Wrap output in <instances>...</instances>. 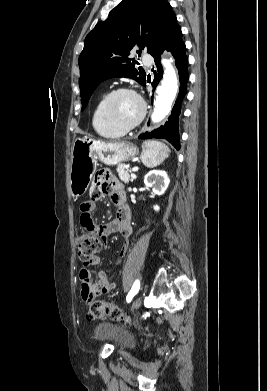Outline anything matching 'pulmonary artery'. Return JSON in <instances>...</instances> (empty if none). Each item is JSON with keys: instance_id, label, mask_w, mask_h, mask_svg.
Returning <instances> with one entry per match:
<instances>
[{"instance_id": "1", "label": "pulmonary artery", "mask_w": 267, "mask_h": 391, "mask_svg": "<svg viewBox=\"0 0 267 391\" xmlns=\"http://www.w3.org/2000/svg\"><path fill=\"white\" fill-rule=\"evenodd\" d=\"M142 61H143V63H144L146 66H148V67H150V66L152 65V63H153L152 57H151L150 55H148V54H145V55L142 57Z\"/></svg>"}]
</instances>
